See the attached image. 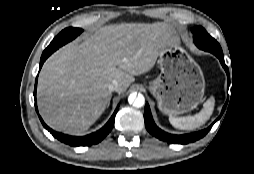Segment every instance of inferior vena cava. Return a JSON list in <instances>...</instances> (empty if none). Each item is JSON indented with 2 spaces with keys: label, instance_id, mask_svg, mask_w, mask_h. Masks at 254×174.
Returning a JSON list of instances; mask_svg holds the SVG:
<instances>
[{
  "label": "inferior vena cava",
  "instance_id": "1",
  "mask_svg": "<svg viewBox=\"0 0 254 174\" xmlns=\"http://www.w3.org/2000/svg\"><path fill=\"white\" fill-rule=\"evenodd\" d=\"M119 88V82L117 80H113L111 84L109 85L110 91H117Z\"/></svg>",
  "mask_w": 254,
  "mask_h": 174
}]
</instances>
